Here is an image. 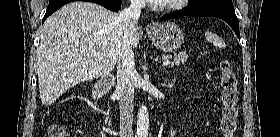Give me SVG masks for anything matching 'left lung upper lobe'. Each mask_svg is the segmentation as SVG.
Masks as SVG:
<instances>
[{
  "instance_id": "1",
  "label": "left lung upper lobe",
  "mask_w": 280,
  "mask_h": 137,
  "mask_svg": "<svg viewBox=\"0 0 280 137\" xmlns=\"http://www.w3.org/2000/svg\"><path fill=\"white\" fill-rule=\"evenodd\" d=\"M225 6L234 8L232 0H194L190 7Z\"/></svg>"
}]
</instances>
